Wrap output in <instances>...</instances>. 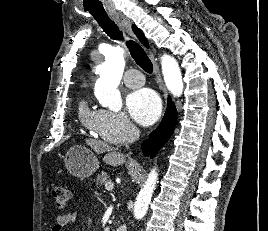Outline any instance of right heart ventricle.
Here are the masks:
<instances>
[{
	"mask_svg": "<svg viewBox=\"0 0 268 231\" xmlns=\"http://www.w3.org/2000/svg\"><path fill=\"white\" fill-rule=\"evenodd\" d=\"M99 110L91 108L86 99L81 100L78 107V115L81 123L85 127L95 130Z\"/></svg>",
	"mask_w": 268,
	"mask_h": 231,
	"instance_id": "1",
	"label": "right heart ventricle"
}]
</instances>
